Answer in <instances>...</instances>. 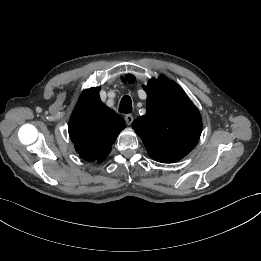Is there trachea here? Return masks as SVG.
I'll return each instance as SVG.
<instances>
[{
    "label": "trachea",
    "mask_w": 261,
    "mask_h": 261,
    "mask_svg": "<svg viewBox=\"0 0 261 261\" xmlns=\"http://www.w3.org/2000/svg\"><path fill=\"white\" fill-rule=\"evenodd\" d=\"M119 111L121 113H130L132 111V100L129 96H124L121 99Z\"/></svg>",
    "instance_id": "1"
}]
</instances>
